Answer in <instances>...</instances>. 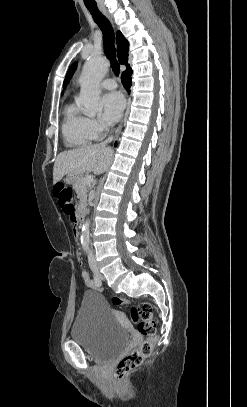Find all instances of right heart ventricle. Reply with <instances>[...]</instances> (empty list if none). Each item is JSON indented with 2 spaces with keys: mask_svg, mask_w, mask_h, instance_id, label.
Returning a JSON list of instances; mask_svg holds the SVG:
<instances>
[{
  "mask_svg": "<svg viewBox=\"0 0 247 407\" xmlns=\"http://www.w3.org/2000/svg\"><path fill=\"white\" fill-rule=\"evenodd\" d=\"M63 114L62 134L68 147H84L95 139L89 118L83 115L75 104L66 105Z\"/></svg>",
  "mask_w": 247,
  "mask_h": 407,
  "instance_id": "1",
  "label": "right heart ventricle"
}]
</instances>
